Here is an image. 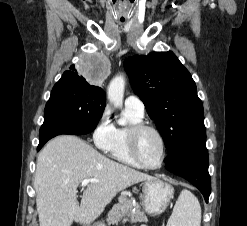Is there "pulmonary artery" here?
<instances>
[{"instance_id": "pulmonary-artery-1", "label": "pulmonary artery", "mask_w": 247, "mask_h": 226, "mask_svg": "<svg viewBox=\"0 0 247 226\" xmlns=\"http://www.w3.org/2000/svg\"><path fill=\"white\" fill-rule=\"evenodd\" d=\"M125 107L133 111L144 114L145 106L143 101L136 95H130L125 99Z\"/></svg>"}]
</instances>
